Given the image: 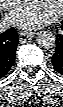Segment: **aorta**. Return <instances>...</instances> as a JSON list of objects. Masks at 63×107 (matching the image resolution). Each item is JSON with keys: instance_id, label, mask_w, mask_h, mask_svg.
Listing matches in <instances>:
<instances>
[{"instance_id": "obj_1", "label": "aorta", "mask_w": 63, "mask_h": 107, "mask_svg": "<svg viewBox=\"0 0 63 107\" xmlns=\"http://www.w3.org/2000/svg\"><path fill=\"white\" fill-rule=\"evenodd\" d=\"M55 35L51 31H40L37 35V43L43 49L55 46Z\"/></svg>"}]
</instances>
